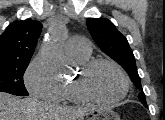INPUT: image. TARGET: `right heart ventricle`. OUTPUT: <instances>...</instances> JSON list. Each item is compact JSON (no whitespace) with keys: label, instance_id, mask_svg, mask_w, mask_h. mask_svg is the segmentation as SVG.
<instances>
[{"label":"right heart ventricle","instance_id":"right-heart-ventricle-1","mask_svg":"<svg viewBox=\"0 0 165 120\" xmlns=\"http://www.w3.org/2000/svg\"><path fill=\"white\" fill-rule=\"evenodd\" d=\"M70 57L72 61L79 66L89 60V55L83 57H75V56H70ZM58 101L67 102V103L83 102V100H81L74 91L73 81L61 84V95Z\"/></svg>","mask_w":165,"mask_h":120}]
</instances>
